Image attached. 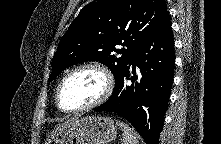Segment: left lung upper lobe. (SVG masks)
Here are the masks:
<instances>
[{"mask_svg":"<svg viewBox=\"0 0 221 144\" xmlns=\"http://www.w3.org/2000/svg\"><path fill=\"white\" fill-rule=\"evenodd\" d=\"M166 13L164 0H99L87 4L61 38L48 81L85 61L108 66L117 79Z\"/></svg>","mask_w":221,"mask_h":144,"instance_id":"5c2ea615","label":"left lung upper lobe"}]
</instances>
